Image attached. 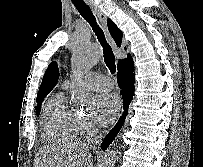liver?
Wrapping results in <instances>:
<instances>
[{
    "instance_id": "obj_1",
    "label": "liver",
    "mask_w": 203,
    "mask_h": 167,
    "mask_svg": "<svg viewBox=\"0 0 203 167\" xmlns=\"http://www.w3.org/2000/svg\"><path fill=\"white\" fill-rule=\"evenodd\" d=\"M35 167H93V160L87 144L66 143L42 148Z\"/></svg>"
}]
</instances>
